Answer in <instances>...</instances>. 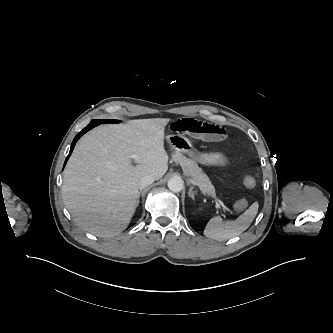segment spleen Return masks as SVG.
<instances>
[{
  "instance_id": "obj_1",
  "label": "spleen",
  "mask_w": 333,
  "mask_h": 333,
  "mask_svg": "<svg viewBox=\"0 0 333 333\" xmlns=\"http://www.w3.org/2000/svg\"><path fill=\"white\" fill-rule=\"evenodd\" d=\"M258 202H254L242 215L234 221L223 222L220 216H215L209 220L204 235L208 238L223 241L244 232L252 223L258 212Z\"/></svg>"
}]
</instances>
